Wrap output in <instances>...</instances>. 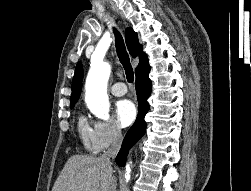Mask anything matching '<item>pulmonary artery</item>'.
I'll return each instance as SVG.
<instances>
[{"label":"pulmonary artery","mask_w":251,"mask_h":191,"mask_svg":"<svg viewBox=\"0 0 251 191\" xmlns=\"http://www.w3.org/2000/svg\"><path fill=\"white\" fill-rule=\"evenodd\" d=\"M111 93L115 96H122L127 92V86L123 82H117L113 84L110 88Z\"/></svg>","instance_id":"pulmonary-artery-1"}]
</instances>
